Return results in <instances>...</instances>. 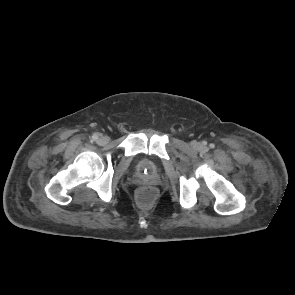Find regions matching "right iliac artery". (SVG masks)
Masks as SVG:
<instances>
[{"label":"right iliac artery","instance_id":"82829eb1","mask_svg":"<svg viewBox=\"0 0 295 295\" xmlns=\"http://www.w3.org/2000/svg\"><path fill=\"white\" fill-rule=\"evenodd\" d=\"M98 139V135L97 134H94L93 136H92V140H97Z\"/></svg>","mask_w":295,"mask_h":295}]
</instances>
